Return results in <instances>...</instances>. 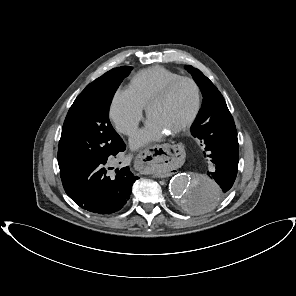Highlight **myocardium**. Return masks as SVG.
<instances>
[{
	"mask_svg": "<svg viewBox=\"0 0 296 296\" xmlns=\"http://www.w3.org/2000/svg\"><path fill=\"white\" fill-rule=\"evenodd\" d=\"M182 83H189L193 86L195 93H196V103H195V107H194L191 115L189 116V118L185 122H183L180 126H178L173 131H171L170 132L171 135H177V134L187 130L197 120V118L200 114V111L202 108V102H203L202 91H201L200 85L192 78L180 77V78L172 81L171 83H169L162 91H160L157 95H155L148 102V104L146 106V114L149 117L150 112L153 109V107L164 102L165 100H167L170 97V95L174 92V90Z\"/></svg>",
	"mask_w": 296,
	"mask_h": 296,
	"instance_id": "obj_1",
	"label": "myocardium"
}]
</instances>
